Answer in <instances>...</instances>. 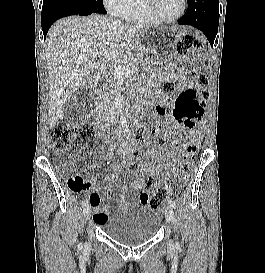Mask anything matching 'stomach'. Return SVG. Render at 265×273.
Instances as JSON below:
<instances>
[{
    "label": "stomach",
    "instance_id": "1",
    "mask_svg": "<svg viewBox=\"0 0 265 273\" xmlns=\"http://www.w3.org/2000/svg\"><path fill=\"white\" fill-rule=\"evenodd\" d=\"M181 35H186L184 25H165V30L145 29L137 35L136 44H127V49L146 50L136 55L141 78H146V73H157V69H166V64H172L169 56H175L176 52L159 49H174L176 41L181 40Z\"/></svg>",
    "mask_w": 265,
    "mask_h": 273
}]
</instances>
